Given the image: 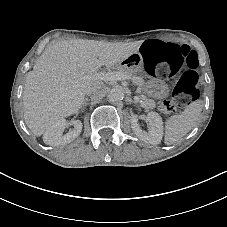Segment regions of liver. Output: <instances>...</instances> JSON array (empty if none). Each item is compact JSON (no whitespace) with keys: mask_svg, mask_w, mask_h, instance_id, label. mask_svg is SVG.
Wrapping results in <instances>:
<instances>
[{"mask_svg":"<svg viewBox=\"0 0 227 227\" xmlns=\"http://www.w3.org/2000/svg\"><path fill=\"white\" fill-rule=\"evenodd\" d=\"M141 42L112 43L88 39L53 42L26 75L24 120L39 137L59 119L79 112L86 89L103 82L93 77L102 66L112 68L139 51Z\"/></svg>","mask_w":227,"mask_h":227,"instance_id":"liver-1","label":"liver"}]
</instances>
